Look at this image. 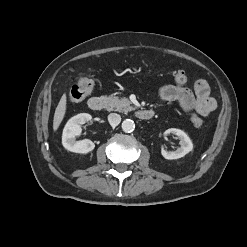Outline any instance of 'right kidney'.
<instances>
[{"instance_id": "1", "label": "right kidney", "mask_w": 247, "mask_h": 247, "mask_svg": "<svg viewBox=\"0 0 247 247\" xmlns=\"http://www.w3.org/2000/svg\"><path fill=\"white\" fill-rule=\"evenodd\" d=\"M91 118L90 114L80 113L66 123L62 134V144L65 149L75 153L86 154L95 148V144L89 139L76 140V137L81 134L80 125L91 120Z\"/></svg>"}]
</instances>
